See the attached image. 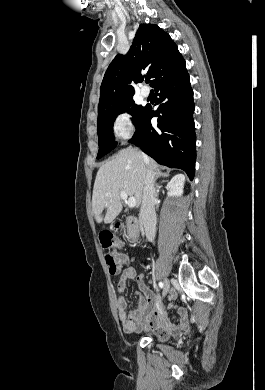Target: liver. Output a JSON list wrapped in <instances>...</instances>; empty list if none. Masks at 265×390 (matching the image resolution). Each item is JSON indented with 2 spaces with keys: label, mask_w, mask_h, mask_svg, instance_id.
I'll return each mask as SVG.
<instances>
[{
  "label": "liver",
  "mask_w": 265,
  "mask_h": 390,
  "mask_svg": "<svg viewBox=\"0 0 265 390\" xmlns=\"http://www.w3.org/2000/svg\"><path fill=\"white\" fill-rule=\"evenodd\" d=\"M148 166L152 171L158 168L151 158L145 161L142 152L126 148L99 168L92 195V210L97 223H111L120 214L122 190L134 197L137 205H140ZM104 209L106 214L102 216Z\"/></svg>",
  "instance_id": "obj_1"
}]
</instances>
